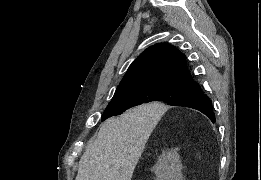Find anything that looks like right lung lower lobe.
<instances>
[{
  "label": "right lung lower lobe",
  "instance_id": "right-lung-lower-lobe-1",
  "mask_svg": "<svg viewBox=\"0 0 261 180\" xmlns=\"http://www.w3.org/2000/svg\"><path fill=\"white\" fill-rule=\"evenodd\" d=\"M171 105L186 106L196 109L205 114L212 122L216 121L212 101L202 91L195 95L176 100Z\"/></svg>",
  "mask_w": 261,
  "mask_h": 180
}]
</instances>
